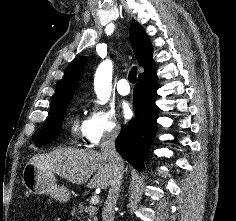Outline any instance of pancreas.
Instances as JSON below:
<instances>
[{
    "label": "pancreas",
    "instance_id": "1",
    "mask_svg": "<svg viewBox=\"0 0 236 221\" xmlns=\"http://www.w3.org/2000/svg\"><path fill=\"white\" fill-rule=\"evenodd\" d=\"M97 211V207L93 205L78 204L73 207L72 214H75L79 221H98Z\"/></svg>",
    "mask_w": 236,
    "mask_h": 221
}]
</instances>
